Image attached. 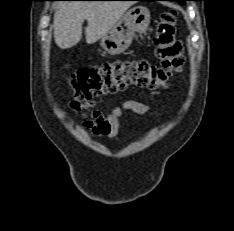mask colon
<instances>
[{"instance_id":"colon-1","label":"colon","mask_w":234,"mask_h":231,"mask_svg":"<svg viewBox=\"0 0 234 231\" xmlns=\"http://www.w3.org/2000/svg\"><path fill=\"white\" fill-rule=\"evenodd\" d=\"M176 11L161 14L155 28L153 44L162 59L160 65L142 60L114 61L84 68L69 76V84L78 102L110 95L129 86L156 89L180 73L184 65L182 47L176 37Z\"/></svg>"}]
</instances>
